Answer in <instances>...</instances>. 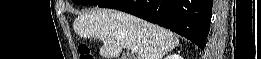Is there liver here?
<instances>
[{
    "instance_id": "liver-1",
    "label": "liver",
    "mask_w": 261,
    "mask_h": 59,
    "mask_svg": "<svg viewBox=\"0 0 261 59\" xmlns=\"http://www.w3.org/2000/svg\"><path fill=\"white\" fill-rule=\"evenodd\" d=\"M73 29L81 37H98L103 41L100 55L117 59L123 49L137 47L131 59H162L179 44L168 30L130 14L113 9H93L79 15Z\"/></svg>"
}]
</instances>
